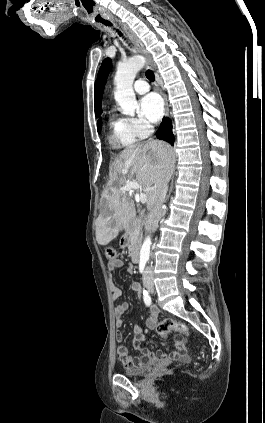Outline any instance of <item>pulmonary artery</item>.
<instances>
[{
    "instance_id": "obj_1",
    "label": "pulmonary artery",
    "mask_w": 265,
    "mask_h": 423,
    "mask_svg": "<svg viewBox=\"0 0 265 423\" xmlns=\"http://www.w3.org/2000/svg\"><path fill=\"white\" fill-rule=\"evenodd\" d=\"M134 90L138 94H145L149 91L150 86L144 79H138L133 86Z\"/></svg>"
}]
</instances>
